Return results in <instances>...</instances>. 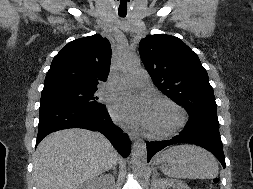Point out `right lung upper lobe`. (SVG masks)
Listing matches in <instances>:
<instances>
[{"label": "right lung upper lobe", "instance_id": "cb5924a9", "mask_svg": "<svg viewBox=\"0 0 253 189\" xmlns=\"http://www.w3.org/2000/svg\"><path fill=\"white\" fill-rule=\"evenodd\" d=\"M111 62V45L95 34L68 43L53 59L44 88L96 87L106 81Z\"/></svg>", "mask_w": 253, "mask_h": 189}]
</instances>
